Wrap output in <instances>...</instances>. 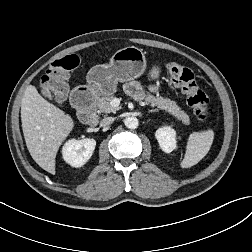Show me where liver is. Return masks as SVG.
Returning a JSON list of instances; mask_svg holds the SVG:
<instances>
[{
  "label": "liver",
  "instance_id": "liver-1",
  "mask_svg": "<svg viewBox=\"0 0 252 252\" xmlns=\"http://www.w3.org/2000/svg\"><path fill=\"white\" fill-rule=\"evenodd\" d=\"M22 129L33 160L55 174V158L62 142L74 128L69 114L46 101L34 86H28L21 103Z\"/></svg>",
  "mask_w": 252,
  "mask_h": 252
}]
</instances>
